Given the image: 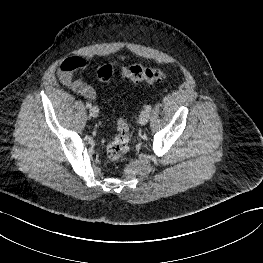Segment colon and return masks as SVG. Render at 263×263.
<instances>
[{"instance_id": "5ec220e1", "label": "colon", "mask_w": 263, "mask_h": 263, "mask_svg": "<svg viewBox=\"0 0 263 263\" xmlns=\"http://www.w3.org/2000/svg\"><path fill=\"white\" fill-rule=\"evenodd\" d=\"M116 66L107 64L97 70V77L101 82H108L115 71ZM120 74L133 82H158L165 78L166 73L162 68L145 67L139 64L119 66ZM129 126L124 119L117 122V130L113 138L106 145V154L110 160L119 159L128 150Z\"/></svg>"}]
</instances>
